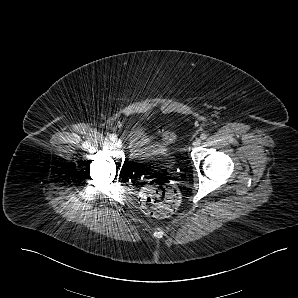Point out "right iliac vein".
<instances>
[{
    "label": "right iliac vein",
    "mask_w": 298,
    "mask_h": 298,
    "mask_svg": "<svg viewBox=\"0 0 298 298\" xmlns=\"http://www.w3.org/2000/svg\"><path fill=\"white\" fill-rule=\"evenodd\" d=\"M114 144L118 147V148H120V147H122V141L120 140V139H115L114 140Z\"/></svg>",
    "instance_id": "63e3f726"
}]
</instances>
